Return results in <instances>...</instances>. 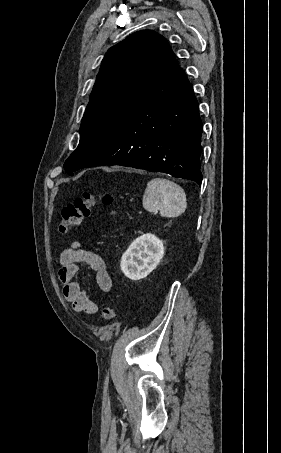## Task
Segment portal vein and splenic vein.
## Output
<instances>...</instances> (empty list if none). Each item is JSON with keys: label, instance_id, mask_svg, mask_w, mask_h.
<instances>
[{"label": "portal vein and splenic vein", "instance_id": "18ae733b", "mask_svg": "<svg viewBox=\"0 0 281 453\" xmlns=\"http://www.w3.org/2000/svg\"><path fill=\"white\" fill-rule=\"evenodd\" d=\"M142 212H143L142 210H139V212L137 214L140 215ZM158 214L161 215L162 213L159 212Z\"/></svg>", "mask_w": 281, "mask_h": 453}]
</instances>
